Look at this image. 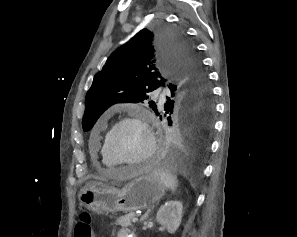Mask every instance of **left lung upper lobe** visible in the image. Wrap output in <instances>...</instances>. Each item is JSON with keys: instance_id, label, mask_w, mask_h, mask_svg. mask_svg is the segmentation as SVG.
Wrapping results in <instances>:
<instances>
[{"instance_id": "left-lung-upper-lobe-1", "label": "left lung upper lobe", "mask_w": 297, "mask_h": 237, "mask_svg": "<svg viewBox=\"0 0 297 237\" xmlns=\"http://www.w3.org/2000/svg\"><path fill=\"white\" fill-rule=\"evenodd\" d=\"M168 87L173 100L200 106L211 101V90L195 49L175 28L142 29L113 52L98 72L85 99L84 131L115 103H147L160 115L149 93ZM169 97H167L168 99Z\"/></svg>"}]
</instances>
